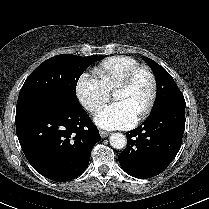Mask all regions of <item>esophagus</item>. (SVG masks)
I'll use <instances>...</instances> for the list:
<instances>
[{
    "label": "esophagus",
    "mask_w": 209,
    "mask_h": 209,
    "mask_svg": "<svg viewBox=\"0 0 209 209\" xmlns=\"http://www.w3.org/2000/svg\"><path fill=\"white\" fill-rule=\"evenodd\" d=\"M99 134H100V136H101L102 138H105V137H107V136L109 135V132L100 130V131H99Z\"/></svg>",
    "instance_id": "obj_1"
}]
</instances>
